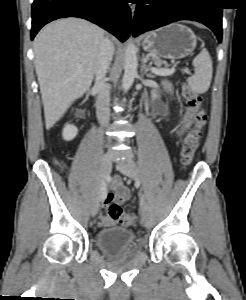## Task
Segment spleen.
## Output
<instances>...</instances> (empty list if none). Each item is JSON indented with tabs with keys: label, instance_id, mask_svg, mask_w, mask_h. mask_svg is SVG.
Here are the masks:
<instances>
[{
	"label": "spleen",
	"instance_id": "3e777b00",
	"mask_svg": "<svg viewBox=\"0 0 246 300\" xmlns=\"http://www.w3.org/2000/svg\"><path fill=\"white\" fill-rule=\"evenodd\" d=\"M195 74L188 78L190 88L199 94L208 91L212 80V59L207 49H203L193 60Z\"/></svg>",
	"mask_w": 246,
	"mask_h": 300
}]
</instances>
